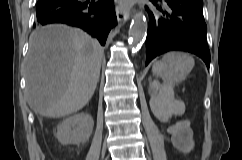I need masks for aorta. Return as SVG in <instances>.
Instances as JSON below:
<instances>
[{"mask_svg":"<svg viewBox=\"0 0 242 160\" xmlns=\"http://www.w3.org/2000/svg\"><path fill=\"white\" fill-rule=\"evenodd\" d=\"M147 33V20L143 12H138L134 15L130 30L129 36L130 41L134 46H139Z\"/></svg>","mask_w":242,"mask_h":160,"instance_id":"aorta-1","label":"aorta"}]
</instances>
